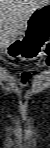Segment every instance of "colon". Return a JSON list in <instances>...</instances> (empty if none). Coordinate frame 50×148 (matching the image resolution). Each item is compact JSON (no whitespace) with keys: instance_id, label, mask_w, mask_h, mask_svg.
Wrapping results in <instances>:
<instances>
[{"instance_id":"colon-1","label":"colon","mask_w":50,"mask_h":148,"mask_svg":"<svg viewBox=\"0 0 50 148\" xmlns=\"http://www.w3.org/2000/svg\"><path fill=\"white\" fill-rule=\"evenodd\" d=\"M11 78L15 80L18 84L23 87H29L34 83L39 82L44 78V73L41 71L32 72V71H20L13 73Z\"/></svg>"}]
</instances>
